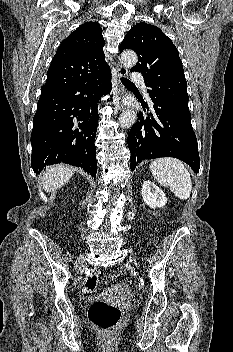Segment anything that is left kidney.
Listing matches in <instances>:
<instances>
[{
    "label": "left kidney",
    "instance_id": "1",
    "mask_svg": "<svg viewBox=\"0 0 233 352\" xmlns=\"http://www.w3.org/2000/svg\"><path fill=\"white\" fill-rule=\"evenodd\" d=\"M143 201L152 209L163 207L167 198L165 193L151 181H144L141 190Z\"/></svg>",
    "mask_w": 233,
    "mask_h": 352
}]
</instances>
